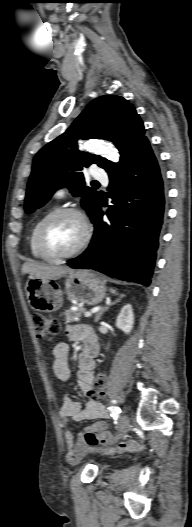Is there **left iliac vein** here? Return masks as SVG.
<instances>
[{"mask_svg":"<svg viewBox=\"0 0 192 527\" xmlns=\"http://www.w3.org/2000/svg\"><path fill=\"white\" fill-rule=\"evenodd\" d=\"M128 428H129V418L126 414H123L120 419L119 432L117 436L115 437V441H118L119 439H121L127 432Z\"/></svg>","mask_w":192,"mask_h":527,"instance_id":"4c4485c4","label":"left iliac vein"}]
</instances>
